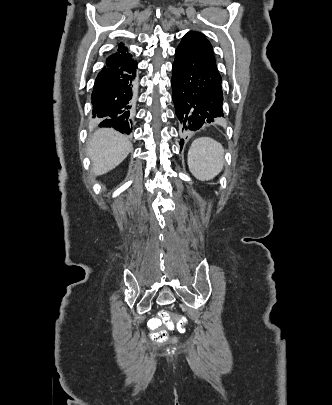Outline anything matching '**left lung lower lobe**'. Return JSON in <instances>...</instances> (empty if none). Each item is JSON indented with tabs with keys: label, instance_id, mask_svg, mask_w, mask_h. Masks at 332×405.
<instances>
[{
	"label": "left lung lower lobe",
	"instance_id": "1",
	"mask_svg": "<svg viewBox=\"0 0 332 405\" xmlns=\"http://www.w3.org/2000/svg\"><path fill=\"white\" fill-rule=\"evenodd\" d=\"M172 98L182 134L223 117L221 75L215 64L179 45L172 65ZM181 139L180 146H183Z\"/></svg>",
	"mask_w": 332,
	"mask_h": 405
}]
</instances>
